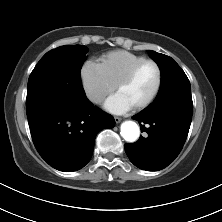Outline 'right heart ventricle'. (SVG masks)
I'll return each mask as SVG.
<instances>
[{
	"label": "right heart ventricle",
	"mask_w": 222,
	"mask_h": 222,
	"mask_svg": "<svg viewBox=\"0 0 222 222\" xmlns=\"http://www.w3.org/2000/svg\"><path fill=\"white\" fill-rule=\"evenodd\" d=\"M145 57L124 50H116L103 55L99 65L108 79L115 85L135 64Z\"/></svg>",
	"instance_id": "e07e8e85"
}]
</instances>
